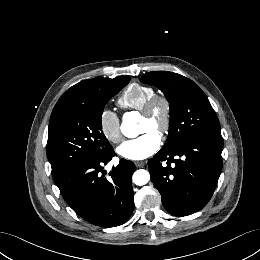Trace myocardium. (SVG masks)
<instances>
[{"label": "myocardium", "instance_id": "obj_1", "mask_svg": "<svg viewBox=\"0 0 260 260\" xmlns=\"http://www.w3.org/2000/svg\"><path fill=\"white\" fill-rule=\"evenodd\" d=\"M157 105H162V121L156 126L157 132L161 136H166L171 128L172 122V105L170 100L164 94L155 93L152 95L141 108V114L144 117L152 119Z\"/></svg>", "mask_w": 260, "mask_h": 260}]
</instances>
